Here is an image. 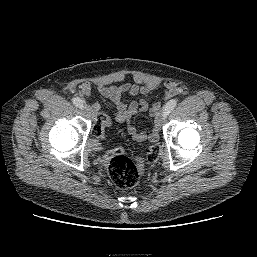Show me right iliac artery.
Returning <instances> with one entry per match:
<instances>
[{"mask_svg":"<svg viewBox=\"0 0 257 257\" xmlns=\"http://www.w3.org/2000/svg\"><path fill=\"white\" fill-rule=\"evenodd\" d=\"M72 102L75 106L79 107V108H82L83 107V100H81L79 97H74L72 99Z\"/></svg>","mask_w":257,"mask_h":257,"instance_id":"obj_1","label":"right iliac artery"}]
</instances>
